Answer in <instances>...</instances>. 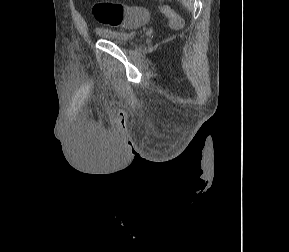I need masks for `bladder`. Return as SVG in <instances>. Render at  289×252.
Here are the masks:
<instances>
[{"instance_id":"1","label":"bladder","mask_w":289,"mask_h":252,"mask_svg":"<svg viewBox=\"0 0 289 252\" xmlns=\"http://www.w3.org/2000/svg\"><path fill=\"white\" fill-rule=\"evenodd\" d=\"M96 34L101 39L113 41L119 44H131L138 37L136 31H117L111 29H97Z\"/></svg>"}]
</instances>
